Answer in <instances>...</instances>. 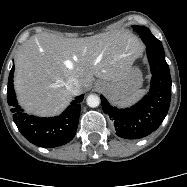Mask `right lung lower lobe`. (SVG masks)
Segmentation results:
<instances>
[{
	"mask_svg": "<svg viewBox=\"0 0 187 187\" xmlns=\"http://www.w3.org/2000/svg\"><path fill=\"white\" fill-rule=\"evenodd\" d=\"M13 73L14 66L9 74L7 101L21 134L29 142L45 148L61 146L71 141L78 127L80 102L84 95L75 97L71 105L57 117L40 118L29 115L17 103L13 89Z\"/></svg>",
	"mask_w": 187,
	"mask_h": 187,
	"instance_id": "obj_1",
	"label": "right lung lower lobe"
}]
</instances>
